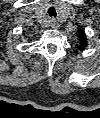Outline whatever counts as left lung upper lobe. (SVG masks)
<instances>
[{
  "label": "left lung upper lobe",
  "instance_id": "obj_1",
  "mask_svg": "<svg viewBox=\"0 0 100 118\" xmlns=\"http://www.w3.org/2000/svg\"><path fill=\"white\" fill-rule=\"evenodd\" d=\"M79 38H80V49L83 50L84 47L87 45L86 35L83 32H81L79 34Z\"/></svg>",
  "mask_w": 100,
  "mask_h": 118
}]
</instances>
